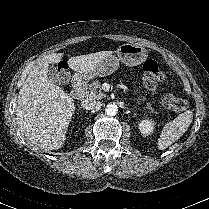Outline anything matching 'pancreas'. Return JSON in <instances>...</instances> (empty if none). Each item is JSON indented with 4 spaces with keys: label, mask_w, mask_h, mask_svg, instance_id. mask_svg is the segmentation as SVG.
<instances>
[{
    "label": "pancreas",
    "mask_w": 209,
    "mask_h": 209,
    "mask_svg": "<svg viewBox=\"0 0 209 209\" xmlns=\"http://www.w3.org/2000/svg\"><path fill=\"white\" fill-rule=\"evenodd\" d=\"M89 90L90 91L85 92V98L87 100H99V99H102L105 96L104 93L101 91V85L98 81L93 82L89 86ZM146 109L151 110L152 112L154 111V108L151 107L150 102L147 103Z\"/></svg>",
    "instance_id": "cf45deb5"
}]
</instances>
